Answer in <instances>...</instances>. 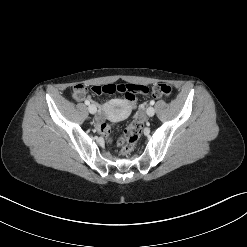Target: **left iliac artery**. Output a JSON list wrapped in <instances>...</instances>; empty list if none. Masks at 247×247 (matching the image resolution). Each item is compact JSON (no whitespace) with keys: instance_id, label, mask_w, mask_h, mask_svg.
<instances>
[{"instance_id":"44dca946","label":"left iliac artery","mask_w":247,"mask_h":247,"mask_svg":"<svg viewBox=\"0 0 247 247\" xmlns=\"http://www.w3.org/2000/svg\"><path fill=\"white\" fill-rule=\"evenodd\" d=\"M150 104H151V105H154V104H155V101H154V100H151V101H150Z\"/></svg>"}]
</instances>
